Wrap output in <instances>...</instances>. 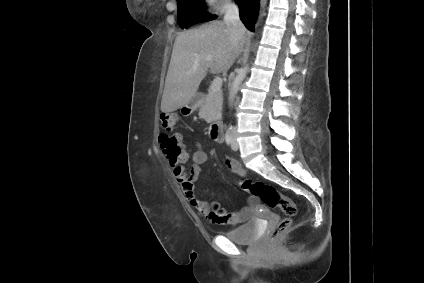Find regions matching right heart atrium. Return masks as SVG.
<instances>
[{
    "mask_svg": "<svg viewBox=\"0 0 424 283\" xmlns=\"http://www.w3.org/2000/svg\"><path fill=\"white\" fill-rule=\"evenodd\" d=\"M203 2L205 7L212 12L229 8L232 5V0H203Z\"/></svg>",
    "mask_w": 424,
    "mask_h": 283,
    "instance_id": "d8ad5b80",
    "label": "right heart atrium"
}]
</instances>
